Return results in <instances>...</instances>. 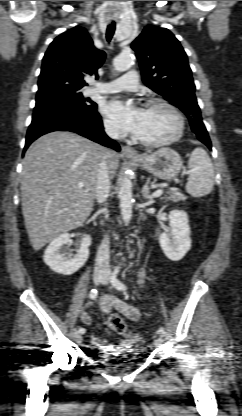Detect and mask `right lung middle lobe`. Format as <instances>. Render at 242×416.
<instances>
[{
  "mask_svg": "<svg viewBox=\"0 0 242 416\" xmlns=\"http://www.w3.org/2000/svg\"><path fill=\"white\" fill-rule=\"evenodd\" d=\"M47 104H61L82 111L96 108V103L89 98L83 97L79 88H61L51 94L36 97L35 108Z\"/></svg>",
  "mask_w": 242,
  "mask_h": 416,
  "instance_id": "obj_1",
  "label": "right lung middle lobe"
}]
</instances>
